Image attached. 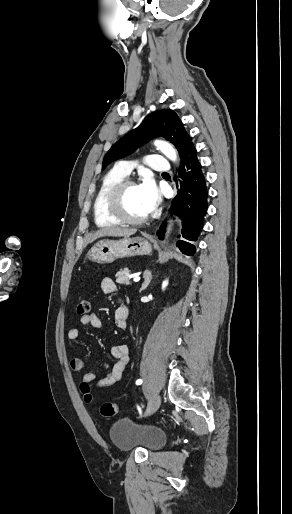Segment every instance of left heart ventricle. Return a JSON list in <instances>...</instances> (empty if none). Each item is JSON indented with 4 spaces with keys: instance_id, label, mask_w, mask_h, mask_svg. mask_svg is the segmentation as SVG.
<instances>
[{
    "instance_id": "b2bd125f",
    "label": "left heart ventricle",
    "mask_w": 292,
    "mask_h": 514,
    "mask_svg": "<svg viewBox=\"0 0 292 514\" xmlns=\"http://www.w3.org/2000/svg\"><path fill=\"white\" fill-rule=\"evenodd\" d=\"M120 208L130 218H139L147 213L137 187L127 188L121 195Z\"/></svg>"
}]
</instances>
